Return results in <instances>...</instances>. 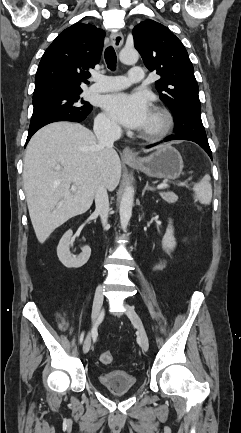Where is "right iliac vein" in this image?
Returning a JSON list of instances; mask_svg holds the SVG:
<instances>
[{
    "mask_svg": "<svg viewBox=\"0 0 241 433\" xmlns=\"http://www.w3.org/2000/svg\"><path fill=\"white\" fill-rule=\"evenodd\" d=\"M103 304V286L99 285L95 291L93 307H92V320L94 321L99 315L100 309ZM91 346V333L88 332L84 343H83V353H87Z\"/></svg>",
    "mask_w": 241,
    "mask_h": 433,
    "instance_id": "63e3f726",
    "label": "right iliac vein"
}]
</instances>
